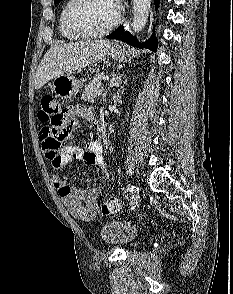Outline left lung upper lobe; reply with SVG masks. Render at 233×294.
Returning <instances> with one entry per match:
<instances>
[{
    "label": "left lung upper lobe",
    "mask_w": 233,
    "mask_h": 294,
    "mask_svg": "<svg viewBox=\"0 0 233 294\" xmlns=\"http://www.w3.org/2000/svg\"><path fill=\"white\" fill-rule=\"evenodd\" d=\"M61 0H54V3L57 4L59 3Z\"/></svg>",
    "instance_id": "5c2ea615"
}]
</instances>
